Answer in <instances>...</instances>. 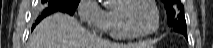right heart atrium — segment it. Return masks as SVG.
I'll return each instance as SVG.
<instances>
[{"label":"right heart atrium","instance_id":"1","mask_svg":"<svg viewBox=\"0 0 213 48\" xmlns=\"http://www.w3.org/2000/svg\"><path fill=\"white\" fill-rule=\"evenodd\" d=\"M78 14L83 23L96 33L106 32L108 14L96 0H82L78 5Z\"/></svg>","mask_w":213,"mask_h":48}]
</instances>
